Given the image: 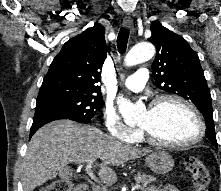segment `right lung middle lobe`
I'll return each instance as SVG.
<instances>
[{"mask_svg": "<svg viewBox=\"0 0 221 191\" xmlns=\"http://www.w3.org/2000/svg\"><path fill=\"white\" fill-rule=\"evenodd\" d=\"M38 103H46L59 109L71 120L87 123L94 117L96 112L103 106L102 96H68L58 97Z\"/></svg>", "mask_w": 221, "mask_h": 191, "instance_id": "1", "label": "right lung middle lobe"}]
</instances>
